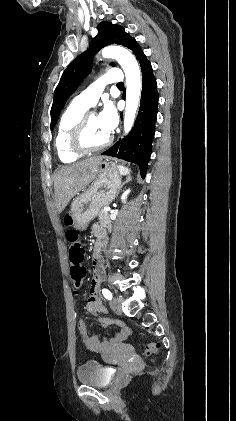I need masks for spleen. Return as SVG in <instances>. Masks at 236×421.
I'll return each instance as SVG.
<instances>
[{
    "instance_id": "spleen-1",
    "label": "spleen",
    "mask_w": 236,
    "mask_h": 421,
    "mask_svg": "<svg viewBox=\"0 0 236 421\" xmlns=\"http://www.w3.org/2000/svg\"><path fill=\"white\" fill-rule=\"evenodd\" d=\"M120 172L122 174H129L130 168H127V166H121V164H118Z\"/></svg>"
}]
</instances>
